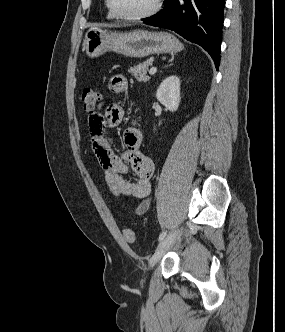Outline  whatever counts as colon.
Segmentation results:
<instances>
[{
	"label": "colon",
	"mask_w": 285,
	"mask_h": 332,
	"mask_svg": "<svg viewBox=\"0 0 285 332\" xmlns=\"http://www.w3.org/2000/svg\"><path fill=\"white\" fill-rule=\"evenodd\" d=\"M102 94L93 88L84 89L81 93V102L84 109L91 114L94 107H98V103H101ZM124 238L130 244L136 242V234L133 229L126 228L123 231Z\"/></svg>",
	"instance_id": "5ec220e1"
}]
</instances>
